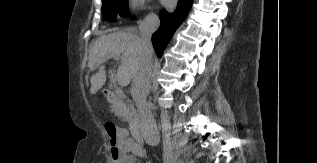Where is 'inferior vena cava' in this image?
I'll use <instances>...</instances> for the list:
<instances>
[{
    "label": "inferior vena cava",
    "mask_w": 317,
    "mask_h": 163,
    "mask_svg": "<svg viewBox=\"0 0 317 163\" xmlns=\"http://www.w3.org/2000/svg\"><path fill=\"white\" fill-rule=\"evenodd\" d=\"M160 20L155 13L148 14L140 23L143 60L133 80L132 96L137 106L140 132L146 143L157 145L160 142L158 128L147 103L150 91L153 47L151 37L158 29Z\"/></svg>",
    "instance_id": "1"
}]
</instances>
